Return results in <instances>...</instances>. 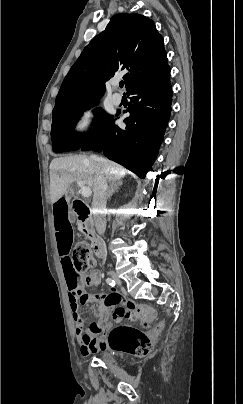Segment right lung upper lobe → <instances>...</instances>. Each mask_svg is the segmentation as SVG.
Masks as SVG:
<instances>
[{
	"instance_id": "cb5924a9",
	"label": "right lung upper lobe",
	"mask_w": 243,
	"mask_h": 404,
	"mask_svg": "<svg viewBox=\"0 0 243 404\" xmlns=\"http://www.w3.org/2000/svg\"><path fill=\"white\" fill-rule=\"evenodd\" d=\"M166 65L164 41L152 20L140 14L114 15L66 75L52 116L95 100L118 72H126L123 79L128 90Z\"/></svg>"
}]
</instances>
